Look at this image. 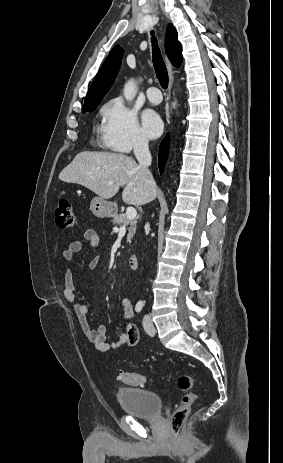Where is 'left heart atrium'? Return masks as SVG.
I'll return each instance as SVG.
<instances>
[{"label": "left heart atrium", "instance_id": "1", "mask_svg": "<svg viewBox=\"0 0 283 463\" xmlns=\"http://www.w3.org/2000/svg\"><path fill=\"white\" fill-rule=\"evenodd\" d=\"M142 128L147 137L155 139L162 133L163 123L156 112L147 110L142 115Z\"/></svg>", "mask_w": 283, "mask_h": 463}]
</instances>
